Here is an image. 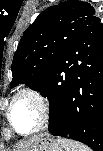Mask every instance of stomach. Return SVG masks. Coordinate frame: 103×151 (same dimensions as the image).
Returning <instances> with one entry per match:
<instances>
[{"instance_id": "stomach-1", "label": "stomach", "mask_w": 103, "mask_h": 151, "mask_svg": "<svg viewBox=\"0 0 103 151\" xmlns=\"http://www.w3.org/2000/svg\"><path fill=\"white\" fill-rule=\"evenodd\" d=\"M25 151H63L58 139L50 136H37L29 142Z\"/></svg>"}]
</instances>
